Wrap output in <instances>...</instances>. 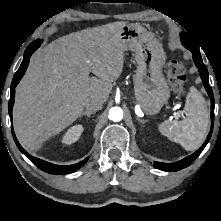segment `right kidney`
I'll list each match as a JSON object with an SVG mask.
<instances>
[{
  "label": "right kidney",
  "instance_id": "1",
  "mask_svg": "<svg viewBox=\"0 0 221 221\" xmlns=\"http://www.w3.org/2000/svg\"><path fill=\"white\" fill-rule=\"evenodd\" d=\"M83 132L82 125H75L67 130V132L63 135L61 141L64 144H72L76 142Z\"/></svg>",
  "mask_w": 221,
  "mask_h": 221
}]
</instances>
